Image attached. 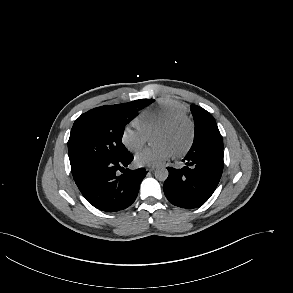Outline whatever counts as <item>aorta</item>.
Segmentation results:
<instances>
[{
    "label": "aorta",
    "mask_w": 293,
    "mask_h": 293,
    "mask_svg": "<svg viewBox=\"0 0 293 293\" xmlns=\"http://www.w3.org/2000/svg\"><path fill=\"white\" fill-rule=\"evenodd\" d=\"M168 170L165 167H159L155 170V178L159 181H165L168 178Z\"/></svg>",
    "instance_id": "aorta-1"
}]
</instances>
